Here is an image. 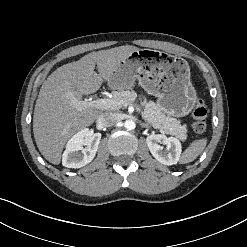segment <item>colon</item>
<instances>
[{
	"label": "colon",
	"mask_w": 247,
	"mask_h": 247,
	"mask_svg": "<svg viewBox=\"0 0 247 247\" xmlns=\"http://www.w3.org/2000/svg\"><path fill=\"white\" fill-rule=\"evenodd\" d=\"M207 110L202 100H197L193 108V129L197 133H202L206 128L205 119Z\"/></svg>",
	"instance_id": "5ec220e1"
}]
</instances>
